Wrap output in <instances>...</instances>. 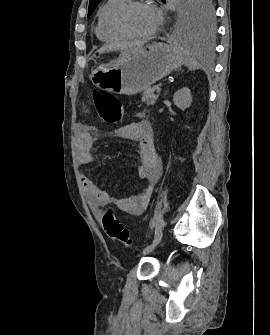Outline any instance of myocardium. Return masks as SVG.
Wrapping results in <instances>:
<instances>
[{
	"instance_id": "1",
	"label": "myocardium",
	"mask_w": 270,
	"mask_h": 335,
	"mask_svg": "<svg viewBox=\"0 0 270 335\" xmlns=\"http://www.w3.org/2000/svg\"><path fill=\"white\" fill-rule=\"evenodd\" d=\"M140 2H128L126 5L122 6L115 14L114 24L117 31L125 37L128 38H143L145 35L133 34L127 27L126 18L128 13L137 7H140ZM145 78V77H144Z\"/></svg>"
}]
</instances>
